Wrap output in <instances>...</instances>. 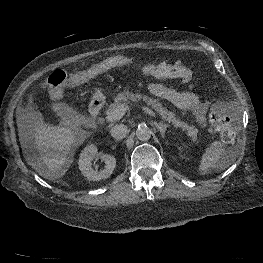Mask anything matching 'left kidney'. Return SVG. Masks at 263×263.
Instances as JSON below:
<instances>
[{
  "label": "left kidney",
  "mask_w": 263,
  "mask_h": 263,
  "mask_svg": "<svg viewBox=\"0 0 263 263\" xmlns=\"http://www.w3.org/2000/svg\"><path fill=\"white\" fill-rule=\"evenodd\" d=\"M183 149V147H179V150L181 151Z\"/></svg>",
  "instance_id": "left-kidney-1"
}]
</instances>
